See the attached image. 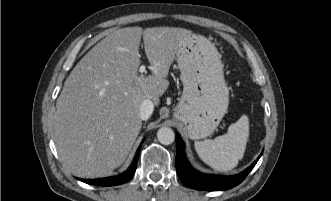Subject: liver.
Listing matches in <instances>:
<instances>
[{
    "instance_id": "1",
    "label": "liver",
    "mask_w": 331,
    "mask_h": 201,
    "mask_svg": "<svg viewBox=\"0 0 331 201\" xmlns=\"http://www.w3.org/2000/svg\"><path fill=\"white\" fill-rule=\"evenodd\" d=\"M176 27H126L97 43L73 68L56 102L54 141L65 166L78 177L112 173L141 130L140 105L159 104L178 49L191 35ZM143 36L152 75L139 76Z\"/></svg>"
}]
</instances>
